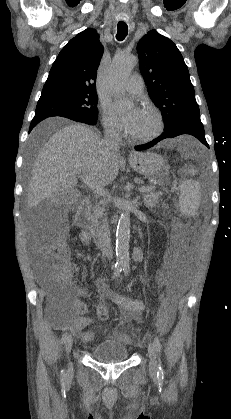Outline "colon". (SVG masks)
I'll list each match as a JSON object with an SVG mask.
<instances>
[{"label": "colon", "instance_id": "obj_1", "mask_svg": "<svg viewBox=\"0 0 231 419\" xmlns=\"http://www.w3.org/2000/svg\"><path fill=\"white\" fill-rule=\"evenodd\" d=\"M70 248L63 238L56 239L48 248V269L47 279L52 287H58L63 283L69 282L71 275L73 274V266L69 260ZM169 291H173L174 287L169 286ZM169 291H162L161 297L164 299V306L161 309L158 321L157 330L160 334H164L167 330V324L169 319V310L167 307V298L171 296ZM98 315L101 319L106 320L108 318V309L106 306H102L98 309ZM128 341L127 338H124Z\"/></svg>", "mask_w": 231, "mask_h": 419}]
</instances>
